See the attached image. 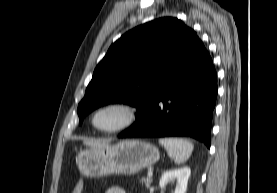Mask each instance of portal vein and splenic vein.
<instances>
[{
    "mask_svg": "<svg viewBox=\"0 0 277 193\" xmlns=\"http://www.w3.org/2000/svg\"><path fill=\"white\" fill-rule=\"evenodd\" d=\"M147 176H148L149 178L152 177V176H153V172H152V171H148Z\"/></svg>",
    "mask_w": 277,
    "mask_h": 193,
    "instance_id": "obj_1",
    "label": "portal vein and splenic vein"
}]
</instances>
